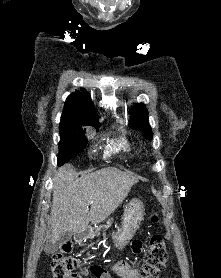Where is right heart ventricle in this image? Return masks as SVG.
<instances>
[{
  "instance_id": "e07e8e85",
  "label": "right heart ventricle",
  "mask_w": 221,
  "mask_h": 278,
  "mask_svg": "<svg viewBox=\"0 0 221 278\" xmlns=\"http://www.w3.org/2000/svg\"><path fill=\"white\" fill-rule=\"evenodd\" d=\"M109 149L116 152H131L134 146L126 137L121 136L111 142Z\"/></svg>"
}]
</instances>
